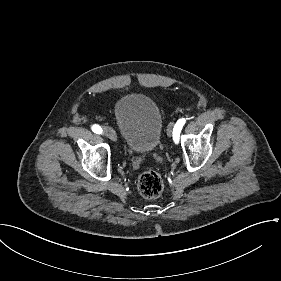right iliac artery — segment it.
<instances>
[{"label": "right iliac artery", "instance_id": "82829eb1", "mask_svg": "<svg viewBox=\"0 0 281 281\" xmlns=\"http://www.w3.org/2000/svg\"><path fill=\"white\" fill-rule=\"evenodd\" d=\"M92 131L97 133V134H101L102 133V128L99 125H93L92 126Z\"/></svg>", "mask_w": 281, "mask_h": 281}]
</instances>
